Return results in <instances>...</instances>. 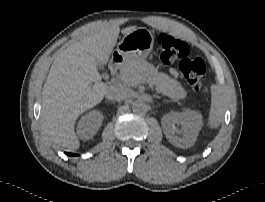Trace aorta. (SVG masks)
<instances>
[{
    "mask_svg": "<svg viewBox=\"0 0 265 202\" xmlns=\"http://www.w3.org/2000/svg\"><path fill=\"white\" fill-rule=\"evenodd\" d=\"M132 110L136 113H142L147 110V105L142 100H136L132 103Z\"/></svg>",
    "mask_w": 265,
    "mask_h": 202,
    "instance_id": "762f6f07",
    "label": "aorta"
}]
</instances>
